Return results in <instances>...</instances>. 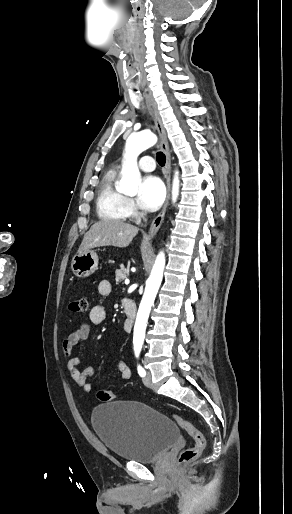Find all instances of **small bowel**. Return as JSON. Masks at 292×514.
I'll return each mask as SVG.
<instances>
[{
  "mask_svg": "<svg viewBox=\"0 0 292 514\" xmlns=\"http://www.w3.org/2000/svg\"><path fill=\"white\" fill-rule=\"evenodd\" d=\"M97 290L100 295H109L112 290L111 283L107 280H101L97 285ZM105 320L106 310L104 306L100 304L93 306L88 317L75 325L62 343L63 352L68 359L67 372L76 386L85 392L93 390L95 370L92 367H87L82 371L79 370L80 357L73 355V350L76 347L82 350L83 343L90 337L92 328L101 326ZM116 371L121 380H129L132 377V371L125 361H119L116 364Z\"/></svg>",
  "mask_w": 292,
  "mask_h": 514,
  "instance_id": "1",
  "label": "small bowel"
}]
</instances>
